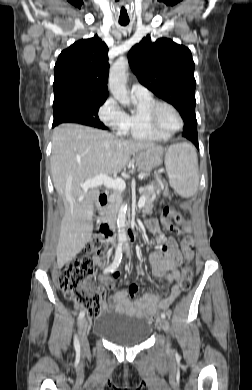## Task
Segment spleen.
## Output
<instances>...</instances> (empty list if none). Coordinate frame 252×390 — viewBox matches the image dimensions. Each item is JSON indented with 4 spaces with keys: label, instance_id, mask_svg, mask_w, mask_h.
I'll list each match as a JSON object with an SVG mask.
<instances>
[{
    "label": "spleen",
    "instance_id": "spleen-1",
    "mask_svg": "<svg viewBox=\"0 0 252 390\" xmlns=\"http://www.w3.org/2000/svg\"><path fill=\"white\" fill-rule=\"evenodd\" d=\"M170 186L182 197L193 196L198 189V160L194 147L188 143L172 145L165 156Z\"/></svg>",
    "mask_w": 252,
    "mask_h": 390
}]
</instances>
